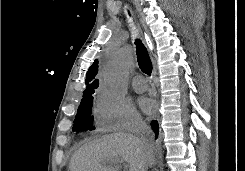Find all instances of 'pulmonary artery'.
<instances>
[{
	"label": "pulmonary artery",
	"instance_id": "e3ab8cb5",
	"mask_svg": "<svg viewBox=\"0 0 245 171\" xmlns=\"http://www.w3.org/2000/svg\"><path fill=\"white\" fill-rule=\"evenodd\" d=\"M132 87L138 92L142 93L147 89V83L143 76L137 75L132 79Z\"/></svg>",
	"mask_w": 245,
	"mask_h": 171
}]
</instances>
